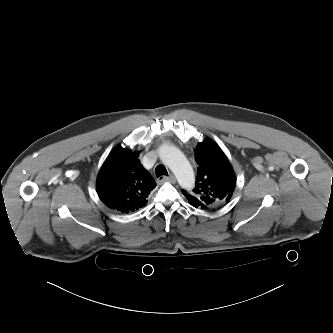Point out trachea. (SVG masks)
I'll list each match as a JSON object with an SVG mask.
<instances>
[{
  "label": "trachea",
  "mask_w": 333,
  "mask_h": 333,
  "mask_svg": "<svg viewBox=\"0 0 333 333\" xmlns=\"http://www.w3.org/2000/svg\"><path fill=\"white\" fill-rule=\"evenodd\" d=\"M155 174L157 177H160L162 175L168 176V172L164 165H158L155 169Z\"/></svg>",
  "instance_id": "trachea-1"
}]
</instances>
